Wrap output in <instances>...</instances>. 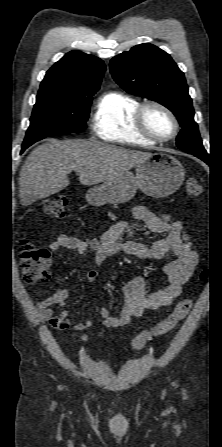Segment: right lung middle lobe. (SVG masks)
<instances>
[{
  "label": "right lung middle lobe",
  "instance_id": "1",
  "mask_svg": "<svg viewBox=\"0 0 222 447\" xmlns=\"http://www.w3.org/2000/svg\"><path fill=\"white\" fill-rule=\"evenodd\" d=\"M94 94L70 95L59 90L40 89L22 151L51 135L83 131Z\"/></svg>",
  "mask_w": 222,
  "mask_h": 447
}]
</instances>
